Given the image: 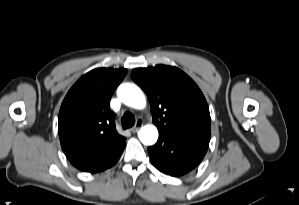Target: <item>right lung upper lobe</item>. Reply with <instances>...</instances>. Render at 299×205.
<instances>
[{"instance_id": "right-lung-upper-lobe-1", "label": "right lung upper lobe", "mask_w": 299, "mask_h": 205, "mask_svg": "<svg viewBox=\"0 0 299 205\" xmlns=\"http://www.w3.org/2000/svg\"><path fill=\"white\" fill-rule=\"evenodd\" d=\"M126 73V69H94L72 86L61 105V147L81 171H104L118 161L124 150L126 138L116 131L109 103Z\"/></svg>"}]
</instances>
